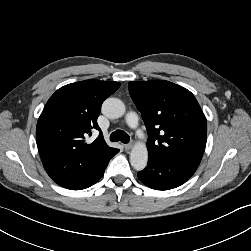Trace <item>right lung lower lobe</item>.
<instances>
[{
  "label": "right lung lower lobe",
  "instance_id": "1",
  "mask_svg": "<svg viewBox=\"0 0 251 251\" xmlns=\"http://www.w3.org/2000/svg\"><path fill=\"white\" fill-rule=\"evenodd\" d=\"M119 150L115 149L109 158L104 161L96 170L91 172L86 176H81L75 179L62 180V179H53L58 185L72 190H81L90 187L94 183H96L104 174L105 168L107 167L110 159L118 153Z\"/></svg>",
  "mask_w": 251,
  "mask_h": 251
}]
</instances>
